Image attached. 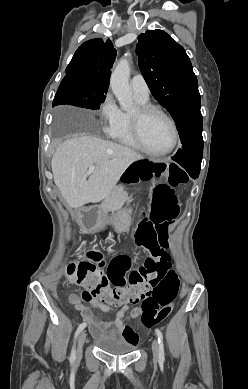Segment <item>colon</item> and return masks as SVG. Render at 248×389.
Masks as SVG:
<instances>
[{"mask_svg":"<svg viewBox=\"0 0 248 389\" xmlns=\"http://www.w3.org/2000/svg\"><path fill=\"white\" fill-rule=\"evenodd\" d=\"M162 174L167 175L165 180L161 179ZM152 179L156 186L150 214L143 217L134 230L136 246L150 253L144 264L130 271L131 258L117 256L109 262L107 275H104L101 253L82 248L86 260L66 267L71 282L85 287L81 297L86 302L102 298L113 305H121L141 300L139 319L148 329L169 316L179 293L180 280L165 248L169 244L170 225L179 214L174 189L186 182L187 175L177 167L176 161H151L150 157H139L138 161H132L123 176L126 186ZM108 281L125 290L110 288Z\"/></svg>","mask_w":248,"mask_h":389,"instance_id":"1","label":"colon"}]
</instances>
